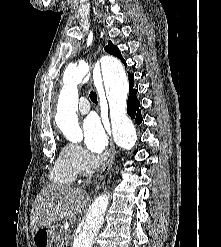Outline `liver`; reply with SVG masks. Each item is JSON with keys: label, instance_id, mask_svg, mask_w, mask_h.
I'll return each mask as SVG.
<instances>
[{"label": "liver", "instance_id": "liver-1", "mask_svg": "<svg viewBox=\"0 0 221 247\" xmlns=\"http://www.w3.org/2000/svg\"><path fill=\"white\" fill-rule=\"evenodd\" d=\"M86 205V194L78 188L47 185L38 194L31 211L32 235L40 228L63 219L72 221Z\"/></svg>", "mask_w": 221, "mask_h": 247}]
</instances>
